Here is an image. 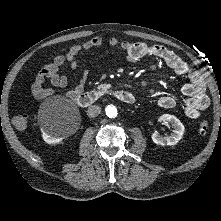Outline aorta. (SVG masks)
I'll return each instance as SVG.
<instances>
[{"label": "aorta", "mask_w": 221, "mask_h": 221, "mask_svg": "<svg viewBox=\"0 0 221 221\" xmlns=\"http://www.w3.org/2000/svg\"><path fill=\"white\" fill-rule=\"evenodd\" d=\"M106 115L109 118H115L117 116V109L114 106H107L106 107Z\"/></svg>", "instance_id": "obj_1"}]
</instances>
